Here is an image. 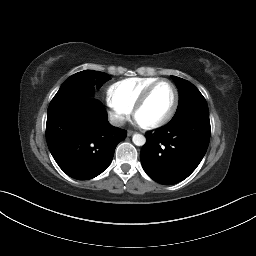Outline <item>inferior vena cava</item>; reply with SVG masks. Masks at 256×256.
<instances>
[{
  "instance_id": "inferior-vena-cava-1",
  "label": "inferior vena cava",
  "mask_w": 256,
  "mask_h": 256,
  "mask_svg": "<svg viewBox=\"0 0 256 256\" xmlns=\"http://www.w3.org/2000/svg\"><path fill=\"white\" fill-rule=\"evenodd\" d=\"M125 120L122 116H111L110 117V124L116 127L123 126Z\"/></svg>"
}]
</instances>
